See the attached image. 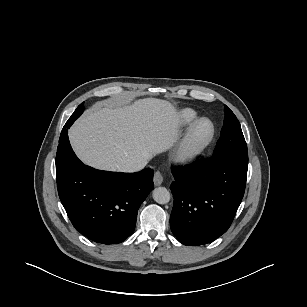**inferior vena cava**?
<instances>
[{
	"instance_id": "1",
	"label": "inferior vena cava",
	"mask_w": 307,
	"mask_h": 307,
	"mask_svg": "<svg viewBox=\"0 0 307 307\" xmlns=\"http://www.w3.org/2000/svg\"><path fill=\"white\" fill-rule=\"evenodd\" d=\"M147 163L146 162H139V163H134V164H128L126 166H124L123 168H121L122 172H136V171H140L142 170L145 165Z\"/></svg>"
}]
</instances>
